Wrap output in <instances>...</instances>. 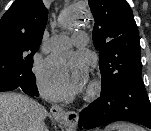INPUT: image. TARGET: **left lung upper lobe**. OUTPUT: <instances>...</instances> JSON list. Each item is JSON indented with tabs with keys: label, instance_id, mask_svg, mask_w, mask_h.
Wrapping results in <instances>:
<instances>
[{
	"label": "left lung upper lobe",
	"instance_id": "1",
	"mask_svg": "<svg viewBox=\"0 0 151 131\" xmlns=\"http://www.w3.org/2000/svg\"><path fill=\"white\" fill-rule=\"evenodd\" d=\"M95 19L93 43L99 51L102 91L141 74L139 32L126 0H88Z\"/></svg>",
	"mask_w": 151,
	"mask_h": 131
}]
</instances>
